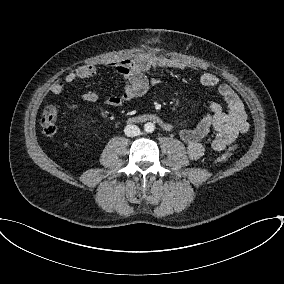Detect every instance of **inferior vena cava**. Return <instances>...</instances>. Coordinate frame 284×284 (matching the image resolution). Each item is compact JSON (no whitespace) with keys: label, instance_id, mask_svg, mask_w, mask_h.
I'll list each match as a JSON object with an SVG mask.
<instances>
[{"label":"inferior vena cava","instance_id":"obj_1","mask_svg":"<svg viewBox=\"0 0 284 284\" xmlns=\"http://www.w3.org/2000/svg\"><path fill=\"white\" fill-rule=\"evenodd\" d=\"M124 133L128 137H135L140 134V129L136 125L129 124L124 128Z\"/></svg>","mask_w":284,"mask_h":284}]
</instances>
